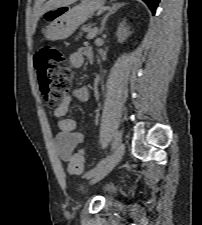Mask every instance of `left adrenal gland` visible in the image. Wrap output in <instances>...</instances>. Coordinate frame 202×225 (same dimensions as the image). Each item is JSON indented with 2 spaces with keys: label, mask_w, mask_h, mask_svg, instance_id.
Returning a JSON list of instances; mask_svg holds the SVG:
<instances>
[{
  "label": "left adrenal gland",
  "mask_w": 202,
  "mask_h": 225,
  "mask_svg": "<svg viewBox=\"0 0 202 225\" xmlns=\"http://www.w3.org/2000/svg\"><path fill=\"white\" fill-rule=\"evenodd\" d=\"M121 7V5H113L110 9H109V12L103 17L102 19V22H101V27L98 31V34L100 35L103 30L105 29V24H106V21L108 19V17L112 14H114L119 8Z\"/></svg>",
  "instance_id": "obj_1"
}]
</instances>
